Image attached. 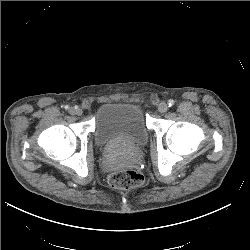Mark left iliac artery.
Segmentation results:
<instances>
[{
    "mask_svg": "<svg viewBox=\"0 0 250 250\" xmlns=\"http://www.w3.org/2000/svg\"><path fill=\"white\" fill-rule=\"evenodd\" d=\"M174 103H175V101H174V100H172V99H170V100L168 101V105H169V107L173 106V105H174Z\"/></svg>",
    "mask_w": 250,
    "mask_h": 250,
    "instance_id": "obj_1",
    "label": "left iliac artery"
}]
</instances>
